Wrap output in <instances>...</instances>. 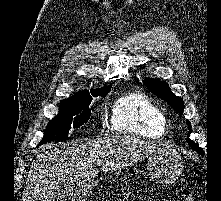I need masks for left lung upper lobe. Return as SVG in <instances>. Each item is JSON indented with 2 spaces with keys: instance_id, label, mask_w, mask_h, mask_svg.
Instances as JSON below:
<instances>
[{
  "instance_id": "5c2ea615",
  "label": "left lung upper lobe",
  "mask_w": 221,
  "mask_h": 201,
  "mask_svg": "<svg viewBox=\"0 0 221 201\" xmlns=\"http://www.w3.org/2000/svg\"><path fill=\"white\" fill-rule=\"evenodd\" d=\"M143 83L147 86V88L152 93H154L155 95H157L158 97H160L161 99L166 101L178 113H180V114L183 113V109H184L183 100L180 97L174 95L172 93L171 89L169 88V86L166 83L161 82V81L156 80V79H151V78L145 79L143 81ZM187 123L189 125L188 126L189 127V132H188V136H187V142H188L189 146H191L199 154H203L204 151L189 138V135H190L192 130H191V124L188 120H187Z\"/></svg>"
}]
</instances>
